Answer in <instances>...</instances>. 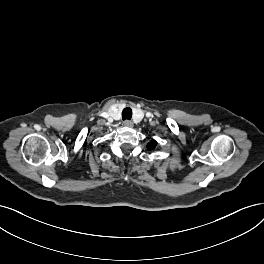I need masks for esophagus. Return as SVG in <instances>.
I'll return each mask as SVG.
<instances>
[{"instance_id": "esophagus-1", "label": "esophagus", "mask_w": 264, "mask_h": 264, "mask_svg": "<svg viewBox=\"0 0 264 264\" xmlns=\"http://www.w3.org/2000/svg\"><path fill=\"white\" fill-rule=\"evenodd\" d=\"M123 124L125 127H129V128L133 127V122L130 120H125Z\"/></svg>"}]
</instances>
